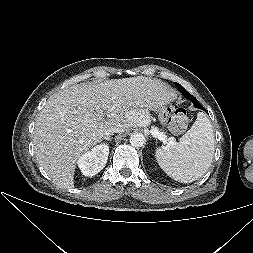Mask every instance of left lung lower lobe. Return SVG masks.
<instances>
[{
  "label": "left lung lower lobe",
  "mask_w": 253,
  "mask_h": 253,
  "mask_svg": "<svg viewBox=\"0 0 253 253\" xmlns=\"http://www.w3.org/2000/svg\"><path fill=\"white\" fill-rule=\"evenodd\" d=\"M191 101L194 103L195 107L199 108V109H202V110H205L203 108V106L198 102V100L195 98V97H191Z\"/></svg>",
  "instance_id": "obj_1"
}]
</instances>
